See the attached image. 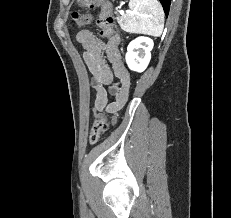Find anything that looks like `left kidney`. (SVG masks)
Masks as SVG:
<instances>
[{"instance_id":"obj_1","label":"left kidney","mask_w":231,"mask_h":218,"mask_svg":"<svg viewBox=\"0 0 231 218\" xmlns=\"http://www.w3.org/2000/svg\"><path fill=\"white\" fill-rule=\"evenodd\" d=\"M153 45V40L145 36L131 41L125 56L128 67L133 71H144L150 62Z\"/></svg>"}]
</instances>
